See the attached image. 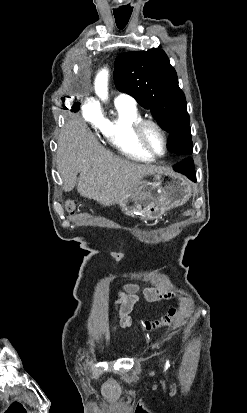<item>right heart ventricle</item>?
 Wrapping results in <instances>:
<instances>
[{
    "label": "right heart ventricle",
    "mask_w": 247,
    "mask_h": 413,
    "mask_svg": "<svg viewBox=\"0 0 247 413\" xmlns=\"http://www.w3.org/2000/svg\"><path fill=\"white\" fill-rule=\"evenodd\" d=\"M121 110L119 118L108 123L103 132L107 140L125 157L139 162H152L154 158L144 153L136 144L134 130L141 117L126 110L124 105L118 104Z\"/></svg>",
    "instance_id": "obj_1"
}]
</instances>
